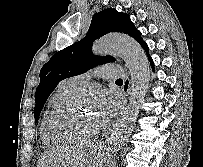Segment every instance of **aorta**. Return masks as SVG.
<instances>
[{
    "mask_svg": "<svg viewBox=\"0 0 203 167\" xmlns=\"http://www.w3.org/2000/svg\"><path fill=\"white\" fill-rule=\"evenodd\" d=\"M97 55L115 54L127 64L132 80L131 102L110 131L107 139L108 151L117 152L129 139L141 104L150 82V67L142 47L131 37L109 34L100 38L93 46Z\"/></svg>",
    "mask_w": 203,
    "mask_h": 167,
    "instance_id": "aorta-1",
    "label": "aorta"
}]
</instances>
